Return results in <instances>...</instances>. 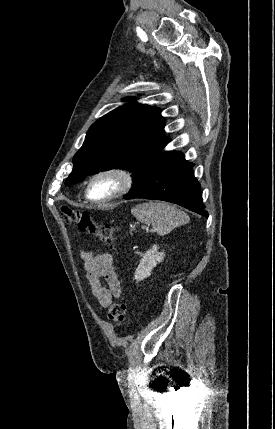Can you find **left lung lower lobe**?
<instances>
[{"label": "left lung lower lobe", "mask_w": 275, "mask_h": 429, "mask_svg": "<svg viewBox=\"0 0 275 429\" xmlns=\"http://www.w3.org/2000/svg\"><path fill=\"white\" fill-rule=\"evenodd\" d=\"M193 166L180 151L159 152L124 198L168 201L207 218L208 212L204 210L200 184L194 177Z\"/></svg>", "instance_id": "1"}]
</instances>
